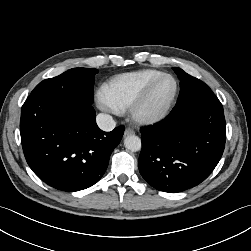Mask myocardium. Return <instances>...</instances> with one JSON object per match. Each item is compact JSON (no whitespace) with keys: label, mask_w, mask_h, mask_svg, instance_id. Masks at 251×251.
Returning <instances> with one entry per match:
<instances>
[{"label":"myocardium","mask_w":251,"mask_h":251,"mask_svg":"<svg viewBox=\"0 0 251 251\" xmlns=\"http://www.w3.org/2000/svg\"><path fill=\"white\" fill-rule=\"evenodd\" d=\"M166 78H170L174 82V91L171 97L166 102V104L159 110L154 111V112L145 111V105L152 91L162 80ZM178 92H179V84H178L177 79L173 75L162 74L159 77L155 78L143 89L140 95L136 98V100L130 106L129 110H130V116L132 120L135 123L139 125H144V126L154 125L161 122L167 117V115L171 111L175 103V100L177 98Z\"/></svg>","instance_id":"f54148a6"}]
</instances>
